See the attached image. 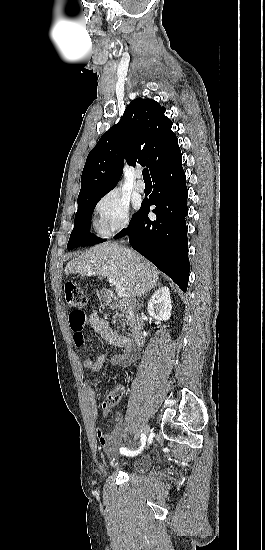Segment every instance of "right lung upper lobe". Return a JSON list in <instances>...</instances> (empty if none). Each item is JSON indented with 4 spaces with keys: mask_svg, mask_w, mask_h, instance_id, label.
Returning a JSON list of instances; mask_svg holds the SVG:
<instances>
[{
    "mask_svg": "<svg viewBox=\"0 0 265 550\" xmlns=\"http://www.w3.org/2000/svg\"><path fill=\"white\" fill-rule=\"evenodd\" d=\"M165 107L152 99L137 98L127 106L123 117L88 154L78 199L102 196L119 181L124 160L140 163L152 174L179 150L171 130L172 121Z\"/></svg>",
    "mask_w": 265,
    "mask_h": 550,
    "instance_id": "obj_1",
    "label": "right lung upper lobe"
}]
</instances>
